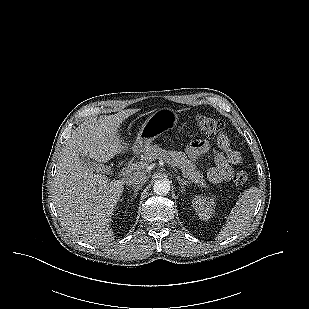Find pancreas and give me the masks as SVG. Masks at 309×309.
<instances>
[{
	"label": "pancreas",
	"mask_w": 309,
	"mask_h": 309,
	"mask_svg": "<svg viewBox=\"0 0 309 309\" xmlns=\"http://www.w3.org/2000/svg\"><path fill=\"white\" fill-rule=\"evenodd\" d=\"M144 158L146 161L150 162L157 159H164L165 161H169L173 166L181 169L184 177L188 178L196 184H199L201 187H206L203 175L181 151H166L155 144L146 148L144 151Z\"/></svg>",
	"instance_id": "pancreas-1"
}]
</instances>
